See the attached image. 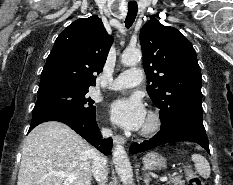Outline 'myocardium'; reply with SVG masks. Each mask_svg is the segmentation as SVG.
Instances as JSON below:
<instances>
[{"label": "myocardium", "mask_w": 233, "mask_h": 185, "mask_svg": "<svg viewBox=\"0 0 233 185\" xmlns=\"http://www.w3.org/2000/svg\"><path fill=\"white\" fill-rule=\"evenodd\" d=\"M148 123L145 127H142L140 134L148 137L155 135L162 126V117L158 111L150 110L147 114Z\"/></svg>", "instance_id": "obj_1"}]
</instances>
